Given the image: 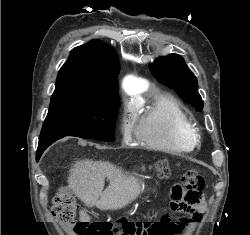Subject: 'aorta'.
Wrapping results in <instances>:
<instances>
[{
  "instance_id": "762f6f07",
  "label": "aorta",
  "mask_w": 250,
  "mask_h": 235,
  "mask_svg": "<svg viewBox=\"0 0 250 235\" xmlns=\"http://www.w3.org/2000/svg\"><path fill=\"white\" fill-rule=\"evenodd\" d=\"M131 93H136L137 91L136 90H130Z\"/></svg>"
}]
</instances>
